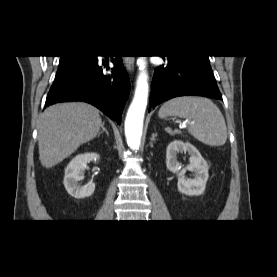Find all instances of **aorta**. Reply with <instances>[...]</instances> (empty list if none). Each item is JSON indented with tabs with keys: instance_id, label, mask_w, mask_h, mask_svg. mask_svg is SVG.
<instances>
[{
	"instance_id": "obj_1",
	"label": "aorta",
	"mask_w": 277,
	"mask_h": 277,
	"mask_svg": "<svg viewBox=\"0 0 277 277\" xmlns=\"http://www.w3.org/2000/svg\"><path fill=\"white\" fill-rule=\"evenodd\" d=\"M137 65L139 74L136 81L135 94L125 119V136L128 146L132 150H138L141 143L149 89L145 57H140L137 60Z\"/></svg>"
}]
</instances>
